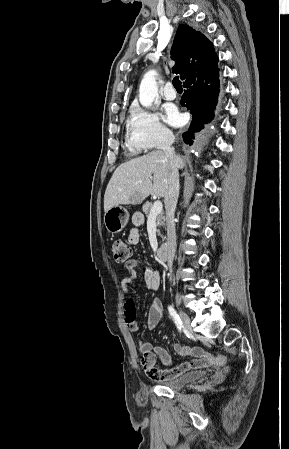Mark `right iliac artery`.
<instances>
[{
	"label": "right iliac artery",
	"mask_w": 289,
	"mask_h": 449,
	"mask_svg": "<svg viewBox=\"0 0 289 449\" xmlns=\"http://www.w3.org/2000/svg\"><path fill=\"white\" fill-rule=\"evenodd\" d=\"M168 311H169V314H170L171 318L173 319L174 323L176 324L178 330L181 331L183 325H182V321H181L179 315L177 314V312L175 311V309L172 306H168Z\"/></svg>",
	"instance_id": "1"
}]
</instances>
